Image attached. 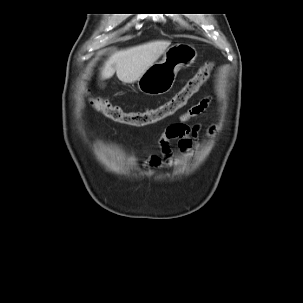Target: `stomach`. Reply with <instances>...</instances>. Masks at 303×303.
Instances as JSON below:
<instances>
[{
  "label": "stomach",
  "instance_id": "obj_1",
  "mask_svg": "<svg viewBox=\"0 0 303 303\" xmlns=\"http://www.w3.org/2000/svg\"><path fill=\"white\" fill-rule=\"evenodd\" d=\"M197 57L196 49L177 43L166 49L160 62L151 65L138 79V89L146 95H162L173 87L181 67H188Z\"/></svg>",
  "mask_w": 303,
  "mask_h": 303
}]
</instances>
